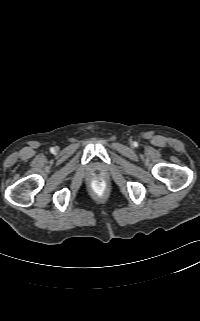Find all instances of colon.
I'll return each mask as SVG.
<instances>
[{"instance_id": "colon-1", "label": "colon", "mask_w": 200, "mask_h": 321, "mask_svg": "<svg viewBox=\"0 0 200 321\" xmlns=\"http://www.w3.org/2000/svg\"><path fill=\"white\" fill-rule=\"evenodd\" d=\"M94 188L96 190H102L103 189V182L101 180H96L93 184Z\"/></svg>"}]
</instances>
